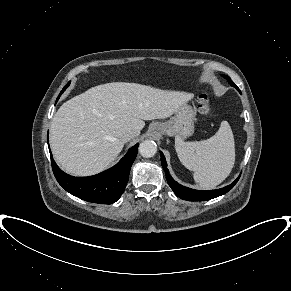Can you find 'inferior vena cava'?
Returning a JSON list of instances; mask_svg holds the SVG:
<instances>
[{
  "instance_id": "602c4592",
  "label": "inferior vena cava",
  "mask_w": 291,
  "mask_h": 291,
  "mask_svg": "<svg viewBox=\"0 0 291 291\" xmlns=\"http://www.w3.org/2000/svg\"><path fill=\"white\" fill-rule=\"evenodd\" d=\"M139 133L136 131H132V130H128L126 132L123 133V135L121 136L122 140L124 143L132 140L134 137L138 136Z\"/></svg>"
}]
</instances>
